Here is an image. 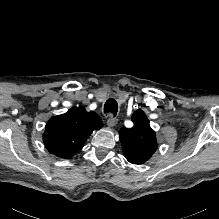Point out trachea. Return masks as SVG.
<instances>
[{"mask_svg": "<svg viewBox=\"0 0 219 219\" xmlns=\"http://www.w3.org/2000/svg\"><path fill=\"white\" fill-rule=\"evenodd\" d=\"M118 111V104L115 99L110 98L106 101L104 106V113H111L112 115L116 116Z\"/></svg>", "mask_w": 219, "mask_h": 219, "instance_id": "obj_1", "label": "trachea"}]
</instances>
